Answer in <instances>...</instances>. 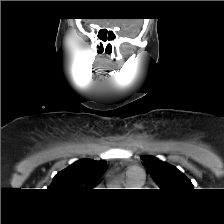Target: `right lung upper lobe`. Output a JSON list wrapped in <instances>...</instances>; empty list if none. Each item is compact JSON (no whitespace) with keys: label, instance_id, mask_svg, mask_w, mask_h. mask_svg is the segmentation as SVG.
Segmentation results:
<instances>
[{"label":"right lung upper lobe","instance_id":"right-lung-upper-lobe-1","mask_svg":"<svg viewBox=\"0 0 224 224\" xmlns=\"http://www.w3.org/2000/svg\"><path fill=\"white\" fill-rule=\"evenodd\" d=\"M106 162L82 159L58 172L49 188L57 191L91 190L105 172Z\"/></svg>","mask_w":224,"mask_h":224}]
</instances>
